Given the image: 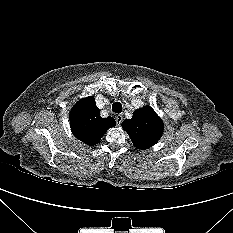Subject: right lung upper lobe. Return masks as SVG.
<instances>
[{
  "label": "right lung upper lobe",
  "mask_w": 233,
  "mask_h": 233,
  "mask_svg": "<svg viewBox=\"0 0 233 233\" xmlns=\"http://www.w3.org/2000/svg\"><path fill=\"white\" fill-rule=\"evenodd\" d=\"M69 117L74 136L89 146L97 144L106 131L115 126L112 117L100 116L92 96L79 100L71 109Z\"/></svg>",
  "instance_id": "1"
}]
</instances>
